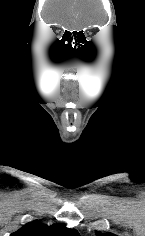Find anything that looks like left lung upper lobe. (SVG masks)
<instances>
[{
  "label": "left lung upper lobe",
  "instance_id": "1",
  "mask_svg": "<svg viewBox=\"0 0 145 236\" xmlns=\"http://www.w3.org/2000/svg\"><path fill=\"white\" fill-rule=\"evenodd\" d=\"M96 235H97V236H116V235H114V234H112V233H104V234H101L100 232H96Z\"/></svg>",
  "mask_w": 145,
  "mask_h": 236
}]
</instances>
